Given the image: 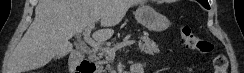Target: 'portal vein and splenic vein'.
I'll return each mask as SVG.
<instances>
[{
    "mask_svg": "<svg viewBox=\"0 0 244 73\" xmlns=\"http://www.w3.org/2000/svg\"><path fill=\"white\" fill-rule=\"evenodd\" d=\"M95 24H90L83 32L84 35V41L90 45L95 50H103L105 51L109 56L115 55L116 51L127 46H131L135 43V41H124L113 48L110 47H102L101 43L97 40H94L90 37L91 31L94 28Z\"/></svg>",
    "mask_w": 244,
    "mask_h": 73,
    "instance_id": "18ae733b",
    "label": "portal vein and splenic vein"
}]
</instances>
